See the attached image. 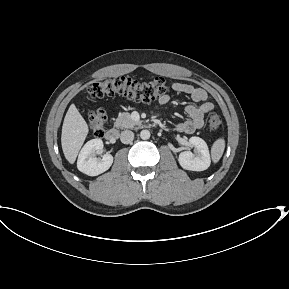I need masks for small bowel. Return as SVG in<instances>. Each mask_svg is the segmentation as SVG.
<instances>
[{
  "mask_svg": "<svg viewBox=\"0 0 289 289\" xmlns=\"http://www.w3.org/2000/svg\"><path fill=\"white\" fill-rule=\"evenodd\" d=\"M171 88L178 92L190 96L193 102L199 105H188L185 109L189 119L180 122L176 125V130L181 133L191 134L196 130L202 128L204 117L207 113L213 110L214 106L207 101V93L204 89L195 87L191 84L174 82ZM171 101L169 95H163L159 98L158 105L160 107L167 105Z\"/></svg>",
  "mask_w": 289,
  "mask_h": 289,
  "instance_id": "c3829d8e",
  "label": "small bowel"
}]
</instances>
